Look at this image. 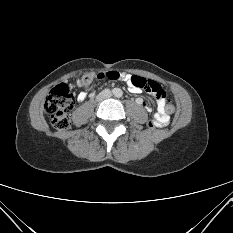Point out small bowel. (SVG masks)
Masks as SVG:
<instances>
[{"label":"small bowel","instance_id":"obj_1","mask_svg":"<svg viewBox=\"0 0 233 233\" xmlns=\"http://www.w3.org/2000/svg\"><path fill=\"white\" fill-rule=\"evenodd\" d=\"M108 77L111 80H121L127 83L129 91L132 93H140L142 90L133 86L131 82L132 75L120 73L118 70H109L106 74L103 71H100L97 74V77L100 80H103L105 77ZM87 97V93L82 91L78 95V100L83 101ZM137 103L143 105L148 111H151L150 105H148L142 98H137ZM157 119V127H164L169 122V115L166 112L165 108V98L159 97L157 98V111L154 115Z\"/></svg>","mask_w":233,"mask_h":233}]
</instances>
